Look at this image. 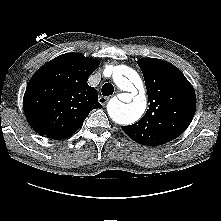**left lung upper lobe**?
I'll use <instances>...</instances> for the list:
<instances>
[{
  "label": "left lung upper lobe",
  "instance_id": "left-lung-upper-lobe-1",
  "mask_svg": "<svg viewBox=\"0 0 221 221\" xmlns=\"http://www.w3.org/2000/svg\"><path fill=\"white\" fill-rule=\"evenodd\" d=\"M137 63L144 76L150 105L141 120L122 129L137 143L162 145L187 129L195 114L196 95L174 65L155 58H142Z\"/></svg>",
  "mask_w": 221,
  "mask_h": 221
}]
</instances>
